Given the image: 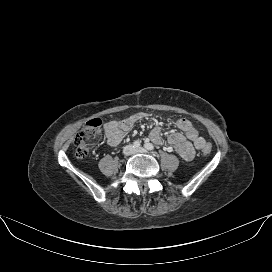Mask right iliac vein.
Returning a JSON list of instances; mask_svg holds the SVG:
<instances>
[{
	"label": "right iliac vein",
	"mask_w": 272,
	"mask_h": 272,
	"mask_svg": "<svg viewBox=\"0 0 272 272\" xmlns=\"http://www.w3.org/2000/svg\"><path fill=\"white\" fill-rule=\"evenodd\" d=\"M130 151H132V147H130Z\"/></svg>",
	"instance_id": "right-iliac-vein-1"
}]
</instances>
